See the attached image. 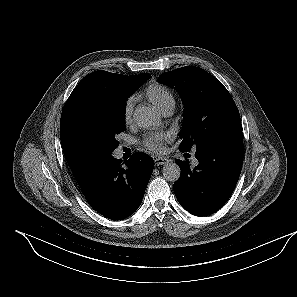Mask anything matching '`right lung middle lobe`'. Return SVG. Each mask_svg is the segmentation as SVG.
Segmentation results:
<instances>
[{
	"label": "right lung middle lobe",
	"instance_id": "right-lung-middle-lobe-1",
	"mask_svg": "<svg viewBox=\"0 0 297 297\" xmlns=\"http://www.w3.org/2000/svg\"><path fill=\"white\" fill-rule=\"evenodd\" d=\"M144 81L128 85L115 102L83 104L66 121L69 146L88 165L95 168L112 157L116 136L126 129L127 98Z\"/></svg>",
	"mask_w": 297,
	"mask_h": 297
}]
</instances>
